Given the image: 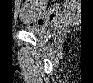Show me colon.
Segmentation results:
<instances>
[{"label":"colon","instance_id":"1","mask_svg":"<svg viewBox=\"0 0 93 83\" xmlns=\"http://www.w3.org/2000/svg\"><path fill=\"white\" fill-rule=\"evenodd\" d=\"M24 4H31L33 6L35 4L40 3L39 1H24ZM54 3V7H34L31 9H22V12L27 13L30 18L29 21H37L39 23L46 22L49 18L54 19L58 15L62 14L67 10V6L72 4V1H65V2H56V1H49Z\"/></svg>","mask_w":93,"mask_h":83}]
</instances>
